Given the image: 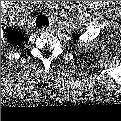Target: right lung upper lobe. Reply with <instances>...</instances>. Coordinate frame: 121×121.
Here are the masks:
<instances>
[{
	"label": "right lung upper lobe",
	"instance_id": "obj_1",
	"mask_svg": "<svg viewBox=\"0 0 121 121\" xmlns=\"http://www.w3.org/2000/svg\"><path fill=\"white\" fill-rule=\"evenodd\" d=\"M5 37L7 39V41L13 45V46H17L20 45L21 43H23L25 41V37L24 35H22L20 32H18L16 29H7L5 30Z\"/></svg>",
	"mask_w": 121,
	"mask_h": 121
}]
</instances>
